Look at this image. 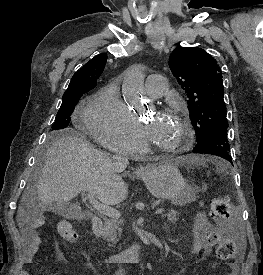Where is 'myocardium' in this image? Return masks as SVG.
I'll return each mask as SVG.
<instances>
[{
    "label": "myocardium",
    "mask_w": 263,
    "mask_h": 275,
    "mask_svg": "<svg viewBox=\"0 0 263 275\" xmlns=\"http://www.w3.org/2000/svg\"><path fill=\"white\" fill-rule=\"evenodd\" d=\"M169 115L178 124L180 130L178 140L170 146L153 145L156 150L166 154L176 153L187 149L190 146L193 137L191 124L185 117L177 112H171Z\"/></svg>",
    "instance_id": "f54148a6"
}]
</instances>
